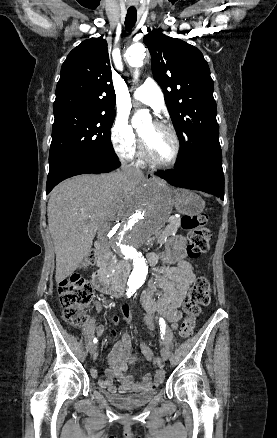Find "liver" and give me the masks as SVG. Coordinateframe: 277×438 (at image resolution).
<instances>
[{
    "label": "liver",
    "mask_w": 277,
    "mask_h": 438,
    "mask_svg": "<svg viewBox=\"0 0 277 438\" xmlns=\"http://www.w3.org/2000/svg\"><path fill=\"white\" fill-rule=\"evenodd\" d=\"M143 178L144 174L127 178L123 172L83 174L52 190L47 216L56 254L57 284L87 258L98 230H110L116 216L120 218L121 205H128V188H136Z\"/></svg>",
    "instance_id": "1"
}]
</instances>
